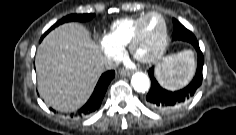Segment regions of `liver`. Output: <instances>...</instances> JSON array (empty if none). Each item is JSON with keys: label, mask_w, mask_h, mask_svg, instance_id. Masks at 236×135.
Here are the masks:
<instances>
[{"label": "liver", "mask_w": 236, "mask_h": 135, "mask_svg": "<svg viewBox=\"0 0 236 135\" xmlns=\"http://www.w3.org/2000/svg\"><path fill=\"white\" fill-rule=\"evenodd\" d=\"M104 60L85 27L74 22L58 26L37 49L35 67L40 96L55 110H77L105 70Z\"/></svg>", "instance_id": "obj_1"}]
</instances>
